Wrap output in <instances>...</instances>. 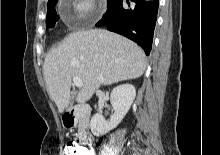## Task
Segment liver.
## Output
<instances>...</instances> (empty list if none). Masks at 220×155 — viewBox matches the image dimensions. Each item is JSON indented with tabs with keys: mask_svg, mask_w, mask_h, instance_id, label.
<instances>
[{
	"mask_svg": "<svg viewBox=\"0 0 220 155\" xmlns=\"http://www.w3.org/2000/svg\"><path fill=\"white\" fill-rule=\"evenodd\" d=\"M145 69V54L137 44L104 29H91L69 34L51 50L43 75L48 94L62 113L71 98L74 76L83 82L75 100L84 104L101 85L139 78Z\"/></svg>",
	"mask_w": 220,
	"mask_h": 155,
	"instance_id": "6515ba94",
	"label": "liver"
}]
</instances>
